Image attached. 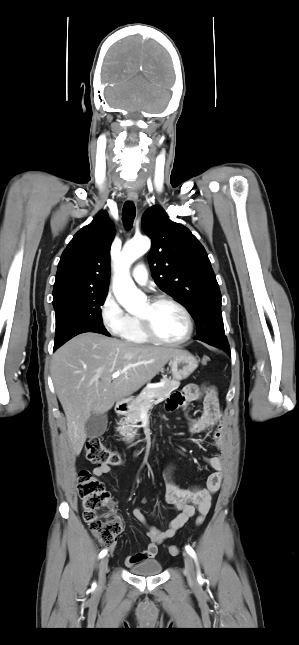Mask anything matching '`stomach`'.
<instances>
[{
  "mask_svg": "<svg viewBox=\"0 0 299 645\" xmlns=\"http://www.w3.org/2000/svg\"><path fill=\"white\" fill-rule=\"evenodd\" d=\"M173 377L176 380L188 378L198 367L197 359L188 351H182L170 360Z\"/></svg>",
  "mask_w": 299,
  "mask_h": 645,
  "instance_id": "0dacf381",
  "label": "stomach"
}]
</instances>
